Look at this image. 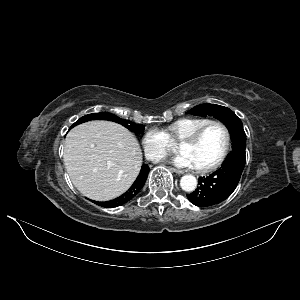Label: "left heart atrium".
<instances>
[{
  "label": "left heart atrium",
  "mask_w": 300,
  "mask_h": 300,
  "mask_svg": "<svg viewBox=\"0 0 300 300\" xmlns=\"http://www.w3.org/2000/svg\"><path fill=\"white\" fill-rule=\"evenodd\" d=\"M172 163L180 168H187V169H194L196 168L195 163L193 162L192 158L185 153H182L178 156H176Z\"/></svg>",
  "instance_id": "1"
}]
</instances>
